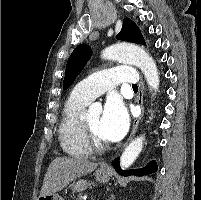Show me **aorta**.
Segmentation results:
<instances>
[{"instance_id":"1","label":"aorta","mask_w":201,"mask_h":200,"mask_svg":"<svg viewBox=\"0 0 201 200\" xmlns=\"http://www.w3.org/2000/svg\"><path fill=\"white\" fill-rule=\"evenodd\" d=\"M102 58L121 61L140 68L150 89L155 93L158 91L159 72L155 61L144 49L131 44L119 43L103 50ZM144 139V135H140L126 147L120 158V165L123 169L128 168L136 160L143 148Z\"/></svg>"}]
</instances>
